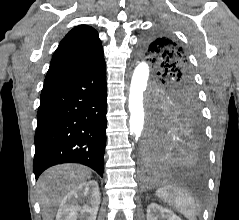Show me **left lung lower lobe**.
<instances>
[{
  "instance_id": "left-lung-lower-lobe-1",
  "label": "left lung lower lobe",
  "mask_w": 239,
  "mask_h": 220,
  "mask_svg": "<svg viewBox=\"0 0 239 220\" xmlns=\"http://www.w3.org/2000/svg\"><path fill=\"white\" fill-rule=\"evenodd\" d=\"M199 112H166L153 108L143 146L144 169L154 174L170 164H197L205 158Z\"/></svg>"
}]
</instances>
